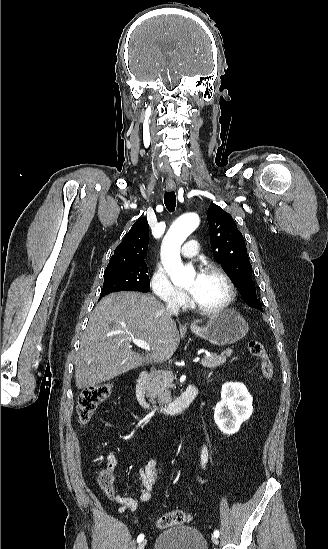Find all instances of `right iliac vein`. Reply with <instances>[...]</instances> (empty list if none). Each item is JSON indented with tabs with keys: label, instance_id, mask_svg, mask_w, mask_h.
I'll return each instance as SVG.
<instances>
[{
	"label": "right iliac vein",
	"instance_id": "right-iliac-vein-1",
	"mask_svg": "<svg viewBox=\"0 0 328 549\" xmlns=\"http://www.w3.org/2000/svg\"><path fill=\"white\" fill-rule=\"evenodd\" d=\"M146 544H147V540H146V539L142 540V541L139 543L137 549H145Z\"/></svg>",
	"mask_w": 328,
	"mask_h": 549
}]
</instances>
